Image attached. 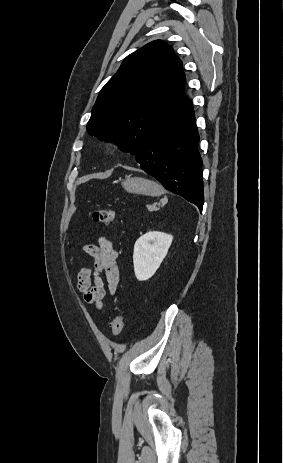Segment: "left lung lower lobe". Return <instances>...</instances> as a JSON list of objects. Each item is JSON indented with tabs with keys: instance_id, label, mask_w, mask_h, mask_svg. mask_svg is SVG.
Segmentation results:
<instances>
[{
	"instance_id": "obj_1",
	"label": "left lung lower lobe",
	"mask_w": 283,
	"mask_h": 463,
	"mask_svg": "<svg viewBox=\"0 0 283 463\" xmlns=\"http://www.w3.org/2000/svg\"><path fill=\"white\" fill-rule=\"evenodd\" d=\"M198 142L195 114L190 102L153 133L135 154V160L166 189L195 204L202 212L203 176Z\"/></svg>"
}]
</instances>
